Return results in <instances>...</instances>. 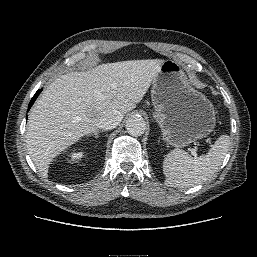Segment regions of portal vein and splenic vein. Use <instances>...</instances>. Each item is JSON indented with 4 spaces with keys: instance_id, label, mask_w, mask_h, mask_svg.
Wrapping results in <instances>:
<instances>
[{
    "instance_id": "1",
    "label": "portal vein and splenic vein",
    "mask_w": 257,
    "mask_h": 257,
    "mask_svg": "<svg viewBox=\"0 0 257 257\" xmlns=\"http://www.w3.org/2000/svg\"><path fill=\"white\" fill-rule=\"evenodd\" d=\"M190 152H191V154H192L194 157H197V153H196V150H195V149H190Z\"/></svg>"
}]
</instances>
